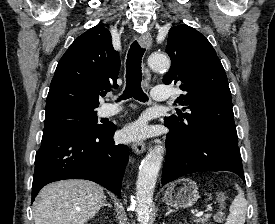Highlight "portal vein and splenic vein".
<instances>
[{
    "label": "portal vein and splenic vein",
    "instance_id": "1",
    "mask_svg": "<svg viewBox=\"0 0 275 224\" xmlns=\"http://www.w3.org/2000/svg\"><path fill=\"white\" fill-rule=\"evenodd\" d=\"M202 215H203V211H198V212L195 214L196 217H200V216H202Z\"/></svg>",
    "mask_w": 275,
    "mask_h": 224
}]
</instances>
